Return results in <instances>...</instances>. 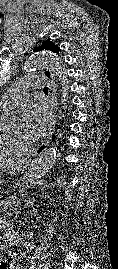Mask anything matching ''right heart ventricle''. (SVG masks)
<instances>
[{
	"label": "right heart ventricle",
	"instance_id": "1",
	"mask_svg": "<svg viewBox=\"0 0 118 269\" xmlns=\"http://www.w3.org/2000/svg\"><path fill=\"white\" fill-rule=\"evenodd\" d=\"M20 151L8 134H0V154H15Z\"/></svg>",
	"mask_w": 118,
	"mask_h": 269
}]
</instances>
